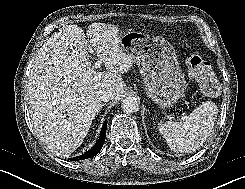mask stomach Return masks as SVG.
Instances as JSON below:
<instances>
[{
  "mask_svg": "<svg viewBox=\"0 0 245 189\" xmlns=\"http://www.w3.org/2000/svg\"><path fill=\"white\" fill-rule=\"evenodd\" d=\"M119 46L138 65L146 94L155 104L168 108L183 97L187 83L167 40L130 31L120 37Z\"/></svg>",
  "mask_w": 245,
  "mask_h": 189,
  "instance_id": "0dacf381",
  "label": "stomach"
}]
</instances>
